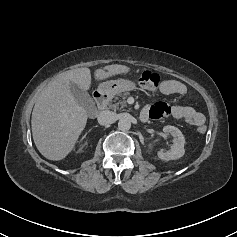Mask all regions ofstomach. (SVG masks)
<instances>
[{
  "label": "stomach",
  "mask_w": 237,
  "mask_h": 237,
  "mask_svg": "<svg viewBox=\"0 0 237 237\" xmlns=\"http://www.w3.org/2000/svg\"><path fill=\"white\" fill-rule=\"evenodd\" d=\"M135 88H136L135 82L124 79H117L101 83L98 87V90L101 93L107 95L108 97H113L116 94L130 91Z\"/></svg>",
  "instance_id": "obj_1"
}]
</instances>
